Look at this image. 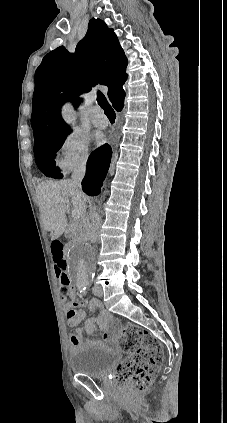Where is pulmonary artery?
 Wrapping results in <instances>:
<instances>
[{"mask_svg":"<svg viewBox=\"0 0 227 423\" xmlns=\"http://www.w3.org/2000/svg\"><path fill=\"white\" fill-rule=\"evenodd\" d=\"M89 118L98 129H105L108 126V119L100 107H93L89 112Z\"/></svg>","mask_w":227,"mask_h":423,"instance_id":"1","label":"pulmonary artery"}]
</instances>
